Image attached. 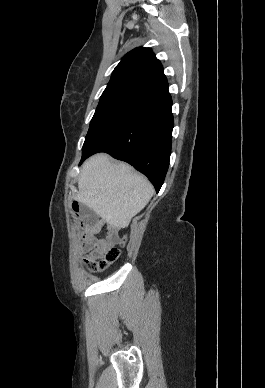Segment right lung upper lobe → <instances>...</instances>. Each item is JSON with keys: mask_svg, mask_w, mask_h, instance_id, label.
<instances>
[{"mask_svg": "<svg viewBox=\"0 0 265 388\" xmlns=\"http://www.w3.org/2000/svg\"><path fill=\"white\" fill-rule=\"evenodd\" d=\"M168 91V82L160 61L150 48L128 52L114 69L103 93H124L147 101Z\"/></svg>", "mask_w": 265, "mask_h": 388, "instance_id": "right-lung-upper-lobe-1", "label": "right lung upper lobe"}]
</instances>
